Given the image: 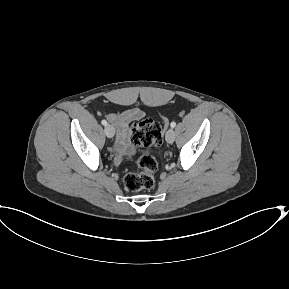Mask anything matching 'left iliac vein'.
I'll use <instances>...</instances> for the list:
<instances>
[{
	"mask_svg": "<svg viewBox=\"0 0 289 289\" xmlns=\"http://www.w3.org/2000/svg\"><path fill=\"white\" fill-rule=\"evenodd\" d=\"M165 139L168 143H173L175 140V132L172 128L168 129L166 132Z\"/></svg>",
	"mask_w": 289,
	"mask_h": 289,
	"instance_id": "1",
	"label": "left iliac vein"
}]
</instances>
